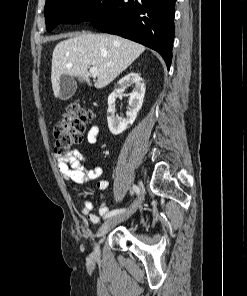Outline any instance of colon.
Here are the masks:
<instances>
[{
    "label": "colon",
    "mask_w": 247,
    "mask_h": 296,
    "mask_svg": "<svg viewBox=\"0 0 247 296\" xmlns=\"http://www.w3.org/2000/svg\"><path fill=\"white\" fill-rule=\"evenodd\" d=\"M91 118L92 112L78 103L68 105L64 116L53 129L55 152L60 155L66 154L78 144Z\"/></svg>",
    "instance_id": "1"
}]
</instances>
